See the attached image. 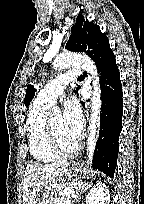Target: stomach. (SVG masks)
<instances>
[{"instance_id": "obj_1", "label": "stomach", "mask_w": 144, "mask_h": 204, "mask_svg": "<svg viewBox=\"0 0 144 204\" xmlns=\"http://www.w3.org/2000/svg\"><path fill=\"white\" fill-rule=\"evenodd\" d=\"M82 170L81 168L77 165L74 167H69L67 168L66 172H65V176H66V180L67 181H72L75 180V178L77 177L78 173H80ZM54 190V186H49L46 187L45 189L42 190V194L38 195L33 204H43L45 199H46V195Z\"/></svg>"}]
</instances>
